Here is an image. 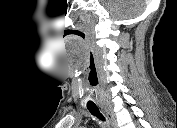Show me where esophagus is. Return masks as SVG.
Returning <instances> with one entry per match:
<instances>
[{
  "label": "esophagus",
  "mask_w": 177,
  "mask_h": 128,
  "mask_svg": "<svg viewBox=\"0 0 177 128\" xmlns=\"http://www.w3.org/2000/svg\"><path fill=\"white\" fill-rule=\"evenodd\" d=\"M101 109L104 112V114L106 115L110 127L111 128H118V125L116 123V120H115L111 110L106 105H102Z\"/></svg>",
  "instance_id": "34e87169"
}]
</instances>
